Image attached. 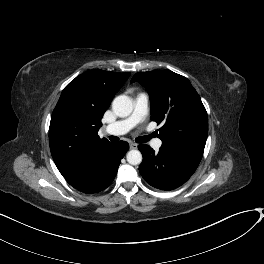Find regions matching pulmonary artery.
Instances as JSON below:
<instances>
[{
    "label": "pulmonary artery",
    "mask_w": 264,
    "mask_h": 264,
    "mask_svg": "<svg viewBox=\"0 0 264 264\" xmlns=\"http://www.w3.org/2000/svg\"><path fill=\"white\" fill-rule=\"evenodd\" d=\"M149 98L146 93H139L134 100L133 112L125 119L119 120L106 126L105 131L112 135H122L129 132L137 124L145 120L148 112ZM162 144L160 139H155L152 143L154 148H159Z\"/></svg>",
    "instance_id": "pulmonary-artery-1"
}]
</instances>
